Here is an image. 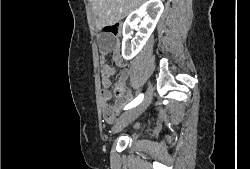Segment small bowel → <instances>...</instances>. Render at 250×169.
I'll return each mask as SVG.
<instances>
[{
	"label": "small bowel",
	"instance_id": "small-bowel-1",
	"mask_svg": "<svg viewBox=\"0 0 250 169\" xmlns=\"http://www.w3.org/2000/svg\"><path fill=\"white\" fill-rule=\"evenodd\" d=\"M112 51L114 55L113 56L114 63L117 66H122L124 63V60L118 47L115 46ZM109 52L110 51L106 49H103L100 52V61L102 64V70H101L102 101H103L104 117L109 122H113L118 111L122 109V107L131 100L132 96H131L130 91L128 89H125L119 99H117L114 103L110 102V99L112 97V93L110 91L111 77L115 75V69L112 66L105 63V60ZM129 75H130V71L128 69H124L120 73V84L122 86H124Z\"/></svg>",
	"mask_w": 250,
	"mask_h": 169
}]
</instances>
